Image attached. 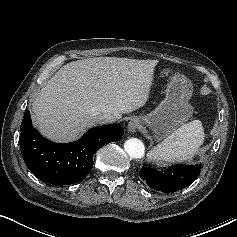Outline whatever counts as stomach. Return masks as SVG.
<instances>
[{"mask_svg":"<svg viewBox=\"0 0 237 237\" xmlns=\"http://www.w3.org/2000/svg\"><path fill=\"white\" fill-rule=\"evenodd\" d=\"M167 73L168 70L162 72V74ZM165 93V99L155 110L141 117L143 124L151 129L158 141L187 122L193 113V107L189 104L193 86L184 75H174L167 85Z\"/></svg>","mask_w":237,"mask_h":237,"instance_id":"stomach-1","label":"stomach"}]
</instances>
